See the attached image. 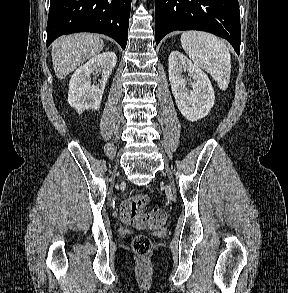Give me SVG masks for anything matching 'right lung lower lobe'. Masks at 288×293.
I'll use <instances>...</instances> for the list:
<instances>
[{
  "label": "right lung lower lobe",
  "mask_w": 288,
  "mask_h": 293,
  "mask_svg": "<svg viewBox=\"0 0 288 293\" xmlns=\"http://www.w3.org/2000/svg\"><path fill=\"white\" fill-rule=\"evenodd\" d=\"M132 0H50L47 46L63 34L94 32L125 49Z\"/></svg>",
  "instance_id": "98d812e1"
}]
</instances>
